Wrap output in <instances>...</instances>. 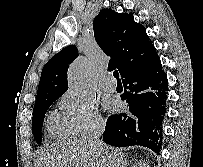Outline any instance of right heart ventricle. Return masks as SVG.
Listing matches in <instances>:
<instances>
[{
	"label": "right heart ventricle",
	"mask_w": 203,
	"mask_h": 167,
	"mask_svg": "<svg viewBox=\"0 0 203 167\" xmlns=\"http://www.w3.org/2000/svg\"><path fill=\"white\" fill-rule=\"evenodd\" d=\"M47 130L51 137L61 138L69 134L64 122L59 118L56 113H52L47 122Z\"/></svg>",
	"instance_id": "right-heart-ventricle-1"
}]
</instances>
